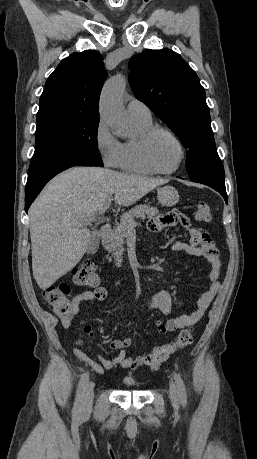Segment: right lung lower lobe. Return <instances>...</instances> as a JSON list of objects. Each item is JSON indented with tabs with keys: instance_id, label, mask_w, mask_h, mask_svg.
Listing matches in <instances>:
<instances>
[{
	"instance_id": "right-lung-lower-lobe-1",
	"label": "right lung lower lobe",
	"mask_w": 257,
	"mask_h": 459,
	"mask_svg": "<svg viewBox=\"0 0 257 459\" xmlns=\"http://www.w3.org/2000/svg\"><path fill=\"white\" fill-rule=\"evenodd\" d=\"M73 166H100L88 157L74 154H61L32 160L25 188V211L46 185L58 173Z\"/></svg>"
}]
</instances>
